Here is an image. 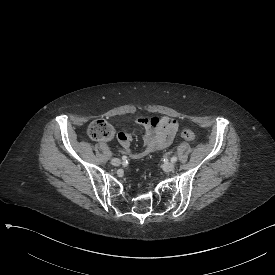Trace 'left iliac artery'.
<instances>
[{
	"mask_svg": "<svg viewBox=\"0 0 275 275\" xmlns=\"http://www.w3.org/2000/svg\"><path fill=\"white\" fill-rule=\"evenodd\" d=\"M176 161H177V156H173V157L171 158V162L175 163Z\"/></svg>",
	"mask_w": 275,
	"mask_h": 275,
	"instance_id": "44dca946",
	"label": "left iliac artery"
}]
</instances>
